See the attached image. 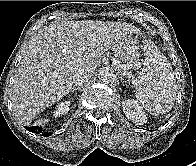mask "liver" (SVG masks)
<instances>
[{
    "label": "liver",
    "mask_w": 196,
    "mask_h": 166,
    "mask_svg": "<svg viewBox=\"0 0 196 166\" xmlns=\"http://www.w3.org/2000/svg\"><path fill=\"white\" fill-rule=\"evenodd\" d=\"M137 32L130 23L91 20L55 21L40 30L14 76L12 103L18 120L31 122L70 92L76 72L93 74L104 52Z\"/></svg>",
    "instance_id": "1"
}]
</instances>
